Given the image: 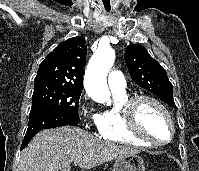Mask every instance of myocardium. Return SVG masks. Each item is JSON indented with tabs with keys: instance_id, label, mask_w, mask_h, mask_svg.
Instances as JSON below:
<instances>
[{
	"instance_id": "obj_1",
	"label": "myocardium",
	"mask_w": 199,
	"mask_h": 171,
	"mask_svg": "<svg viewBox=\"0 0 199 171\" xmlns=\"http://www.w3.org/2000/svg\"><path fill=\"white\" fill-rule=\"evenodd\" d=\"M150 102L157 106L165 115L169 126H170V136L165 141H157L148 136L140 127L139 125V108L143 102ZM123 112L125 116L126 126L129 132L136 136L137 138L151 144L152 146H163L170 143L175 137V123L172 118L171 113L167 109V107L156 97L147 95V94H138L129 97L124 105H123Z\"/></svg>"
}]
</instances>
